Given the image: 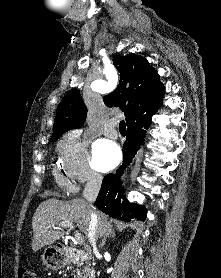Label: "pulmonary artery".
Returning <instances> with one entry per match:
<instances>
[{"instance_id":"1","label":"pulmonary artery","mask_w":221,"mask_h":278,"mask_svg":"<svg viewBox=\"0 0 221 278\" xmlns=\"http://www.w3.org/2000/svg\"><path fill=\"white\" fill-rule=\"evenodd\" d=\"M105 134L109 136L110 138H117L119 136V132L116 128V123L113 121H110L105 128Z\"/></svg>"}]
</instances>
